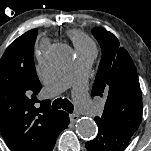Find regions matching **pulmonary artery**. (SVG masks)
<instances>
[{
  "instance_id": "obj_1",
  "label": "pulmonary artery",
  "mask_w": 151,
  "mask_h": 151,
  "mask_svg": "<svg viewBox=\"0 0 151 151\" xmlns=\"http://www.w3.org/2000/svg\"><path fill=\"white\" fill-rule=\"evenodd\" d=\"M77 58L73 67L58 80L47 86V91L56 94L72 85L73 94L79 107L90 116L99 114V107L94 104L87 93V78L96 57L95 48L76 50Z\"/></svg>"
}]
</instances>
